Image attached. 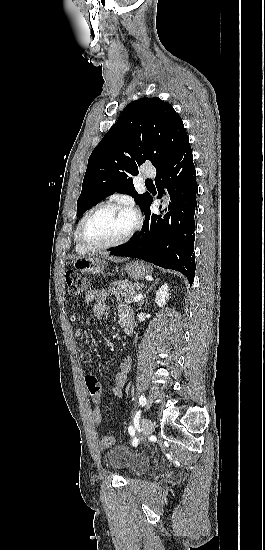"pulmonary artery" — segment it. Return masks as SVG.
I'll use <instances>...</instances> for the list:
<instances>
[{"instance_id":"1","label":"pulmonary artery","mask_w":265,"mask_h":550,"mask_svg":"<svg viewBox=\"0 0 265 550\" xmlns=\"http://www.w3.org/2000/svg\"><path fill=\"white\" fill-rule=\"evenodd\" d=\"M143 174H144L145 177H153L155 175V170L154 169H149V170L144 171Z\"/></svg>"}]
</instances>
